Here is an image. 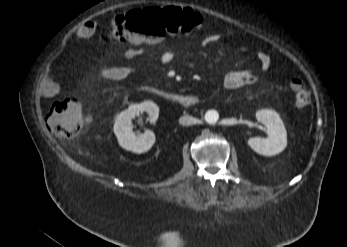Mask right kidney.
<instances>
[{
  "label": "right kidney",
  "instance_id": "right-kidney-1",
  "mask_svg": "<svg viewBox=\"0 0 347 247\" xmlns=\"http://www.w3.org/2000/svg\"><path fill=\"white\" fill-rule=\"evenodd\" d=\"M142 112L148 113L150 121L155 122L159 115V108L152 101L132 104L128 109L117 115L113 127L119 145L128 151L138 154L147 152L155 143V135L152 131L147 130L138 136L133 132L131 120Z\"/></svg>",
  "mask_w": 347,
  "mask_h": 247
}]
</instances>
